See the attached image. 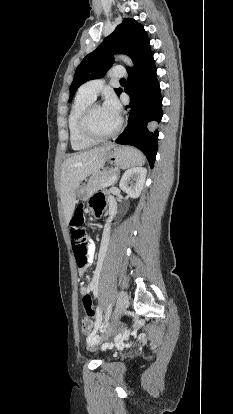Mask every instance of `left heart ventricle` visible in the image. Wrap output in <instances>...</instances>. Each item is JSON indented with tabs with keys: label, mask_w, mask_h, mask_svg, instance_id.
<instances>
[{
	"label": "left heart ventricle",
	"mask_w": 233,
	"mask_h": 414,
	"mask_svg": "<svg viewBox=\"0 0 233 414\" xmlns=\"http://www.w3.org/2000/svg\"><path fill=\"white\" fill-rule=\"evenodd\" d=\"M118 118L110 114L103 106L95 108L89 119L91 130L97 135H106L116 126Z\"/></svg>",
	"instance_id": "left-heart-ventricle-1"
}]
</instances>
